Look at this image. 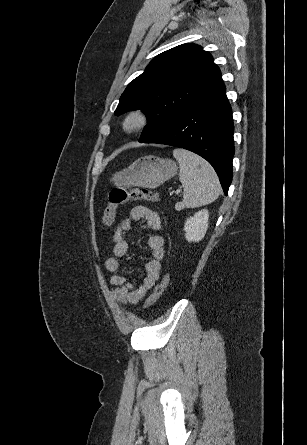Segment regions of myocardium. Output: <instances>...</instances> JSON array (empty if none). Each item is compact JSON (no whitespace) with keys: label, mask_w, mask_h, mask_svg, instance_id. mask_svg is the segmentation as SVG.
I'll return each mask as SVG.
<instances>
[{"label":"myocardium","mask_w":307,"mask_h":445,"mask_svg":"<svg viewBox=\"0 0 307 445\" xmlns=\"http://www.w3.org/2000/svg\"><path fill=\"white\" fill-rule=\"evenodd\" d=\"M136 116L139 118V125L131 131H127L125 129V123L126 121L133 117ZM153 121V113L152 111L145 107V106H136L133 107L131 109H129L123 116L122 121H121V129L123 131V133L125 134H135L138 133L146 128H148Z\"/></svg>","instance_id":"obj_1"}]
</instances>
